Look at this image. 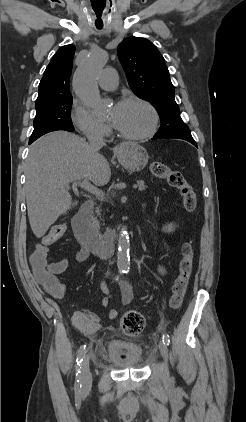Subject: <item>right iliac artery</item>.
<instances>
[{"label": "right iliac artery", "instance_id": "1", "mask_svg": "<svg viewBox=\"0 0 246 422\" xmlns=\"http://www.w3.org/2000/svg\"><path fill=\"white\" fill-rule=\"evenodd\" d=\"M124 273V271H120L119 274ZM119 278V275H117L116 280ZM85 348L86 345H82L79 350H78V354H77V358H76V381H75V389L77 391H80L81 387H82V375H81V364L85 355Z\"/></svg>", "mask_w": 246, "mask_h": 422}]
</instances>
